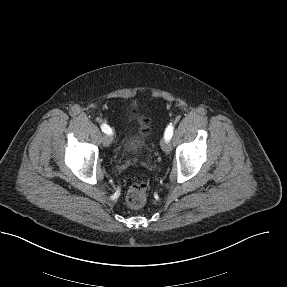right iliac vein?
<instances>
[{
    "mask_svg": "<svg viewBox=\"0 0 287 287\" xmlns=\"http://www.w3.org/2000/svg\"><path fill=\"white\" fill-rule=\"evenodd\" d=\"M112 136L110 135H104L102 138V143L105 147L109 146L112 143Z\"/></svg>",
    "mask_w": 287,
    "mask_h": 287,
    "instance_id": "63e3f726",
    "label": "right iliac vein"
}]
</instances>
